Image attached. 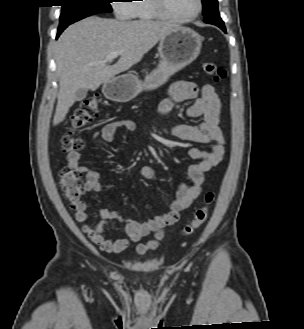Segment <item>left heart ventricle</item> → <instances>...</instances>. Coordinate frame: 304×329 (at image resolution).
Segmentation results:
<instances>
[{"label":"left heart ventricle","mask_w":304,"mask_h":329,"mask_svg":"<svg viewBox=\"0 0 304 329\" xmlns=\"http://www.w3.org/2000/svg\"><path fill=\"white\" fill-rule=\"evenodd\" d=\"M171 13L178 16H189L195 13L198 7L197 0H166Z\"/></svg>","instance_id":"obj_1"}]
</instances>
